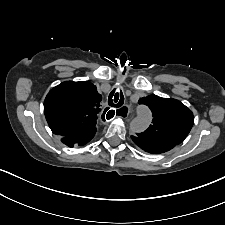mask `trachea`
Masks as SVG:
<instances>
[{"instance_id": "trachea-1", "label": "trachea", "mask_w": 225, "mask_h": 225, "mask_svg": "<svg viewBox=\"0 0 225 225\" xmlns=\"http://www.w3.org/2000/svg\"><path fill=\"white\" fill-rule=\"evenodd\" d=\"M124 103V96L122 92L113 90L108 97V104L111 107H121ZM122 110V109H120ZM110 114V118L114 116L115 112L114 110H111L107 113V116Z\"/></svg>"}]
</instances>
